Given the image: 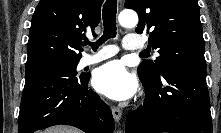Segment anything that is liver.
I'll list each match as a JSON object with an SVG mask.
<instances>
[{
	"label": "liver",
	"instance_id": "obj_1",
	"mask_svg": "<svg viewBox=\"0 0 221 133\" xmlns=\"http://www.w3.org/2000/svg\"><path fill=\"white\" fill-rule=\"evenodd\" d=\"M43 133H81L79 130L68 127V126H54L44 130Z\"/></svg>",
	"mask_w": 221,
	"mask_h": 133
}]
</instances>
